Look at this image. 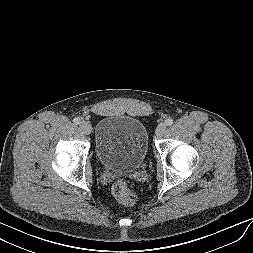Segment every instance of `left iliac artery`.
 Here are the masks:
<instances>
[{"label": "left iliac artery", "instance_id": "obj_1", "mask_svg": "<svg viewBox=\"0 0 253 253\" xmlns=\"http://www.w3.org/2000/svg\"><path fill=\"white\" fill-rule=\"evenodd\" d=\"M165 124H166L167 126H171V125L173 124V119H171V118L166 119V120H165Z\"/></svg>", "mask_w": 253, "mask_h": 253}]
</instances>
